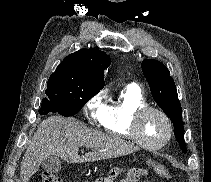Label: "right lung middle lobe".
<instances>
[{
    "instance_id": "obj_1",
    "label": "right lung middle lobe",
    "mask_w": 211,
    "mask_h": 182,
    "mask_svg": "<svg viewBox=\"0 0 211 182\" xmlns=\"http://www.w3.org/2000/svg\"><path fill=\"white\" fill-rule=\"evenodd\" d=\"M101 89L102 87L79 82L66 75L52 74L40 112L48 114L55 111L63 116H73Z\"/></svg>"
}]
</instances>
